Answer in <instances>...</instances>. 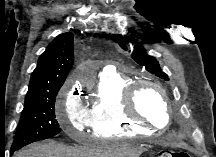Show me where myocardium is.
Masks as SVG:
<instances>
[{
    "label": "myocardium",
    "instance_id": "obj_1",
    "mask_svg": "<svg viewBox=\"0 0 216 157\" xmlns=\"http://www.w3.org/2000/svg\"><path fill=\"white\" fill-rule=\"evenodd\" d=\"M149 86L154 89H156L163 101L166 113H167V121L163 126L156 125L153 121H151L149 118L143 116L139 113L137 107H136V99L138 96L139 91L142 87ZM122 105L123 110L128 118L131 120L145 125L149 126L154 129H162L169 125L172 117L168 96L166 90L157 82L148 80V79H141V80H135L132 81L124 90L123 96H122Z\"/></svg>",
    "mask_w": 216,
    "mask_h": 157
}]
</instances>
